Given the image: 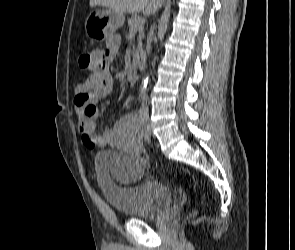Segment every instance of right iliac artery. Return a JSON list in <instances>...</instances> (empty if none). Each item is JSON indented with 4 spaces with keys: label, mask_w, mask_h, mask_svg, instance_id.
Here are the masks:
<instances>
[{
    "label": "right iliac artery",
    "mask_w": 295,
    "mask_h": 250,
    "mask_svg": "<svg viewBox=\"0 0 295 250\" xmlns=\"http://www.w3.org/2000/svg\"><path fill=\"white\" fill-rule=\"evenodd\" d=\"M138 122H139L140 126L143 128L142 132L146 133V138L149 140L150 135H149V133L147 132V129H146L147 127H146L145 118H144L142 110H140L138 112Z\"/></svg>",
    "instance_id": "1"
}]
</instances>
